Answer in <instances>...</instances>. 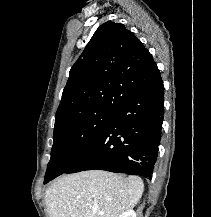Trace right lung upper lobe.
I'll return each mask as SVG.
<instances>
[{
  "label": "right lung upper lobe",
  "mask_w": 211,
  "mask_h": 217,
  "mask_svg": "<svg viewBox=\"0 0 211 217\" xmlns=\"http://www.w3.org/2000/svg\"><path fill=\"white\" fill-rule=\"evenodd\" d=\"M161 79L152 55L124 25L108 21L72 66L55 126L95 111H117L139 90Z\"/></svg>",
  "instance_id": "right-lung-upper-lobe-1"
}]
</instances>
